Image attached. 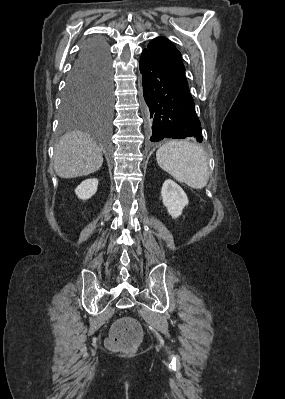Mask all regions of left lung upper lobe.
Wrapping results in <instances>:
<instances>
[{
  "instance_id": "left-lung-upper-lobe-1",
  "label": "left lung upper lobe",
  "mask_w": 285,
  "mask_h": 399,
  "mask_svg": "<svg viewBox=\"0 0 285 399\" xmlns=\"http://www.w3.org/2000/svg\"><path fill=\"white\" fill-rule=\"evenodd\" d=\"M147 49L159 57L175 74L186 79L181 53L170 40L165 37L154 38Z\"/></svg>"
}]
</instances>
